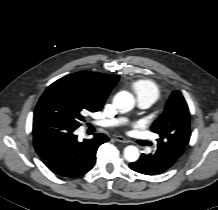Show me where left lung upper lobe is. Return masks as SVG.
<instances>
[{
  "instance_id": "5c2ea615",
  "label": "left lung upper lobe",
  "mask_w": 218,
  "mask_h": 210,
  "mask_svg": "<svg viewBox=\"0 0 218 210\" xmlns=\"http://www.w3.org/2000/svg\"><path fill=\"white\" fill-rule=\"evenodd\" d=\"M151 130L159 134L158 149L167 157H180L190 139V113L179 91H174L167 101L163 114L153 123Z\"/></svg>"
}]
</instances>
